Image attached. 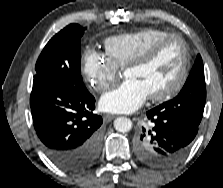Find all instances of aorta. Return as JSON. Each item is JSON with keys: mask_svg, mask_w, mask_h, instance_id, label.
I'll return each mask as SVG.
<instances>
[{"mask_svg": "<svg viewBox=\"0 0 223 188\" xmlns=\"http://www.w3.org/2000/svg\"><path fill=\"white\" fill-rule=\"evenodd\" d=\"M114 128L122 133L129 132L132 128V121L126 117H118L114 121Z\"/></svg>", "mask_w": 223, "mask_h": 188, "instance_id": "obj_1", "label": "aorta"}]
</instances>
